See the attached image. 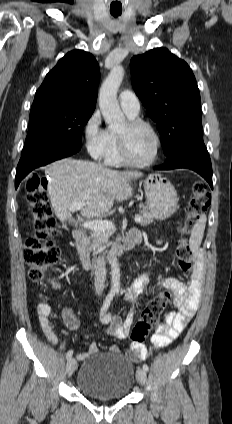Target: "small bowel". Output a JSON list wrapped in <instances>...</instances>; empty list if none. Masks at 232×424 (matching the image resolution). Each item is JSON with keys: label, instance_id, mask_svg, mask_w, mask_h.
<instances>
[{"label": "small bowel", "instance_id": "small-bowel-1", "mask_svg": "<svg viewBox=\"0 0 232 424\" xmlns=\"http://www.w3.org/2000/svg\"><path fill=\"white\" fill-rule=\"evenodd\" d=\"M132 234H136V232H133ZM202 280L203 262L201 257H198L186 287L175 278H164L158 282V288H170L174 290L175 295L173 297V305L176 307V310L165 313L164 322L157 327L156 332L152 336V343L155 348L169 346L185 329L188 322L195 315L199 307ZM54 287L58 289L60 288V284L55 282ZM149 288L150 281L148 276H139L127 287L125 291L126 302L133 304L137 297ZM36 312L46 339L51 344L55 345L58 342V336L55 330V325L51 321L52 312L50 306L46 303H39L36 307ZM62 319L70 330L79 329V320L70 308L66 307L63 309ZM101 320L105 325H107V329L104 333L117 339H126L128 336V330L133 321V314L129 313L125 319H122L118 315L104 314ZM98 334L99 333H86L84 334V337L93 338ZM110 351L118 353L119 347L112 345L110 346ZM98 352V345L96 343H91L88 351L78 354V358L82 360L88 355H94ZM148 354V348L144 344H131L128 350V356L134 362H140L146 359Z\"/></svg>", "mask_w": 232, "mask_h": 424}]
</instances>
